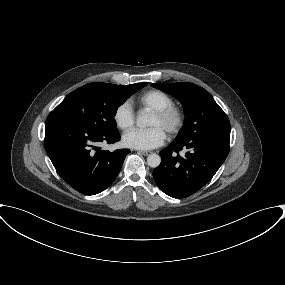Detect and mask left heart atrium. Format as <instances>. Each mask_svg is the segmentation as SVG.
Instances as JSON below:
<instances>
[{
    "label": "left heart atrium",
    "mask_w": 285,
    "mask_h": 285,
    "mask_svg": "<svg viewBox=\"0 0 285 285\" xmlns=\"http://www.w3.org/2000/svg\"><path fill=\"white\" fill-rule=\"evenodd\" d=\"M166 139L165 132L158 126L147 129H132L123 135V144L138 150H150L161 146Z\"/></svg>",
    "instance_id": "obj_1"
}]
</instances>
